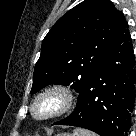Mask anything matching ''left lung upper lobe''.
I'll return each instance as SVG.
<instances>
[{"label":"left lung upper lobe","mask_w":136,"mask_h":136,"mask_svg":"<svg viewBox=\"0 0 136 136\" xmlns=\"http://www.w3.org/2000/svg\"><path fill=\"white\" fill-rule=\"evenodd\" d=\"M124 21L109 0H85L69 10L42 42L31 94L49 84L70 85L79 93Z\"/></svg>","instance_id":"left-lung-upper-lobe-1"}]
</instances>
